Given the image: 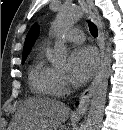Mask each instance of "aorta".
Masks as SVG:
<instances>
[{
    "label": "aorta",
    "instance_id": "aorta-1",
    "mask_svg": "<svg viewBox=\"0 0 123 130\" xmlns=\"http://www.w3.org/2000/svg\"><path fill=\"white\" fill-rule=\"evenodd\" d=\"M83 15L84 10L79 6H64L57 13L52 25L53 33L56 36L53 56L51 58V62L54 66L62 67L65 65L67 59V47L64 43L63 36L65 32ZM111 62V43H109L102 67L93 85L85 130H100L101 128L108 89V80L112 72Z\"/></svg>",
    "mask_w": 123,
    "mask_h": 130
}]
</instances>
